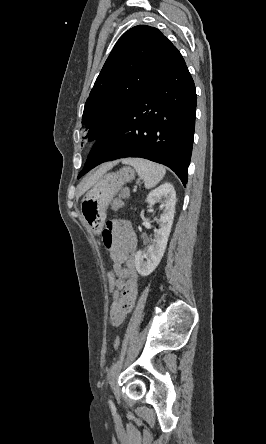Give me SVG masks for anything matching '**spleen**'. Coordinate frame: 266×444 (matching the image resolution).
<instances>
[{"label": "spleen", "mask_w": 266, "mask_h": 444, "mask_svg": "<svg viewBox=\"0 0 266 444\" xmlns=\"http://www.w3.org/2000/svg\"><path fill=\"white\" fill-rule=\"evenodd\" d=\"M122 163L132 165L136 169L147 189L155 187L166 173L164 166L143 158H126Z\"/></svg>", "instance_id": "obj_1"}]
</instances>
